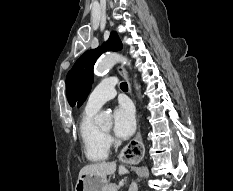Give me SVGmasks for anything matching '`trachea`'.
Segmentation results:
<instances>
[{
  "mask_svg": "<svg viewBox=\"0 0 233 191\" xmlns=\"http://www.w3.org/2000/svg\"><path fill=\"white\" fill-rule=\"evenodd\" d=\"M120 88L123 90V91H127L128 90V85L126 82H122L120 84Z\"/></svg>",
  "mask_w": 233,
  "mask_h": 191,
  "instance_id": "1",
  "label": "trachea"
}]
</instances>
